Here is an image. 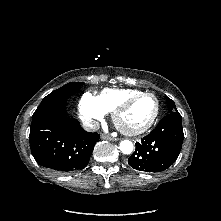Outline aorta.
I'll return each instance as SVG.
<instances>
[{
  "instance_id": "aorta-1",
  "label": "aorta",
  "mask_w": 221,
  "mask_h": 221,
  "mask_svg": "<svg viewBox=\"0 0 221 221\" xmlns=\"http://www.w3.org/2000/svg\"><path fill=\"white\" fill-rule=\"evenodd\" d=\"M119 148L123 154H131L133 152V143L129 140H123L120 142Z\"/></svg>"
}]
</instances>
